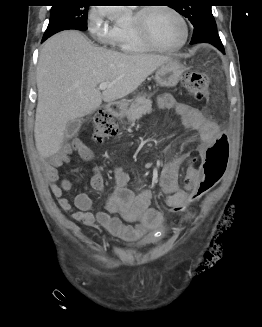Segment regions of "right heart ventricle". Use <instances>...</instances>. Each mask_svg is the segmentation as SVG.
Wrapping results in <instances>:
<instances>
[{
  "label": "right heart ventricle",
  "instance_id": "right-heart-ventricle-1",
  "mask_svg": "<svg viewBox=\"0 0 262 327\" xmlns=\"http://www.w3.org/2000/svg\"><path fill=\"white\" fill-rule=\"evenodd\" d=\"M115 29V44L121 51L128 53H146L152 50L141 41L131 28V25L117 24Z\"/></svg>",
  "mask_w": 262,
  "mask_h": 327
}]
</instances>
